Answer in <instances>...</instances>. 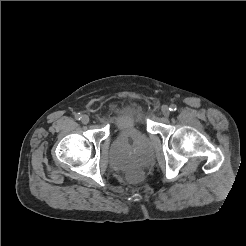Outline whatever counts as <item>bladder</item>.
Segmentation results:
<instances>
[{
	"mask_svg": "<svg viewBox=\"0 0 246 246\" xmlns=\"http://www.w3.org/2000/svg\"><path fill=\"white\" fill-rule=\"evenodd\" d=\"M142 123L141 114L136 110L129 109L117 117L115 125L119 134H124L134 128L140 127ZM150 158L151 153L147 151L138 153L130 158L113 155L112 161L118 168L123 169L131 165H145L150 161Z\"/></svg>",
	"mask_w": 246,
	"mask_h": 246,
	"instance_id": "1",
	"label": "bladder"
}]
</instances>
